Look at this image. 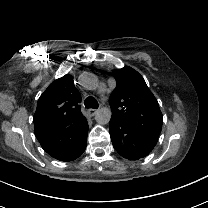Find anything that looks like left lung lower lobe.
<instances>
[{"label": "left lung lower lobe", "mask_w": 208, "mask_h": 208, "mask_svg": "<svg viewBox=\"0 0 208 208\" xmlns=\"http://www.w3.org/2000/svg\"><path fill=\"white\" fill-rule=\"evenodd\" d=\"M109 130L113 147L128 160L144 158L155 147V144L119 117L112 115Z\"/></svg>", "instance_id": "left-lung-lower-lobe-1"}]
</instances>
